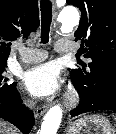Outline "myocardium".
<instances>
[{
  "label": "myocardium",
  "mask_w": 116,
  "mask_h": 134,
  "mask_svg": "<svg viewBox=\"0 0 116 134\" xmlns=\"http://www.w3.org/2000/svg\"><path fill=\"white\" fill-rule=\"evenodd\" d=\"M77 99H76V96L74 94H71L69 97H68V100H67V103L66 105L67 106H73L75 103H76Z\"/></svg>",
  "instance_id": "1"
}]
</instances>
